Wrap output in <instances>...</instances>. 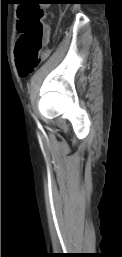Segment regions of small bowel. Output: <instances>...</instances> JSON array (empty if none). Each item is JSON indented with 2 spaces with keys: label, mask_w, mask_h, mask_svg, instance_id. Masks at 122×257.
Masks as SVG:
<instances>
[{
  "label": "small bowel",
  "mask_w": 122,
  "mask_h": 257,
  "mask_svg": "<svg viewBox=\"0 0 122 257\" xmlns=\"http://www.w3.org/2000/svg\"><path fill=\"white\" fill-rule=\"evenodd\" d=\"M47 55H48V51H45L44 54H43V56L45 57V56H47Z\"/></svg>",
  "instance_id": "obj_1"
}]
</instances>
